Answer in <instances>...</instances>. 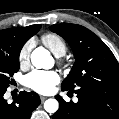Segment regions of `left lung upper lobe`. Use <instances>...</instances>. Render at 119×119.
<instances>
[{
  "mask_svg": "<svg viewBox=\"0 0 119 119\" xmlns=\"http://www.w3.org/2000/svg\"><path fill=\"white\" fill-rule=\"evenodd\" d=\"M73 50L75 63L62 82L67 90L96 85L119 86V64L108 46L92 31L76 24L50 26Z\"/></svg>",
  "mask_w": 119,
  "mask_h": 119,
  "instance_id": "1",
  "label": "left lung upper lobe"
}]
</instances>
